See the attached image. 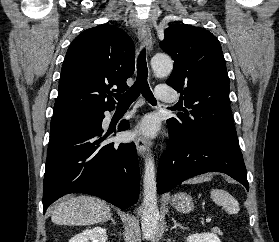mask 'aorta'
Segmentation results:
<instances>
[{
    "label": "aorta",
    "mask_w": 279,
    "mask_h": 242,
    "mask_svg": "<svg viewBox=\"0 0 279 242\" xmlns=\"http://www.w3.org/2000/svg\"><path fill=\"white\" fill-rule=\"evenodd\" d=\"M151 66L158 77H166L173 70V61L168 55L157 54L151 59ZM158 221L155 163L152 154H148L143 178V211L141 218L142 232L145 239H151L155 235Z\"/></svg>",
    "instance_id": "762f6f07"
}]
</instances>
